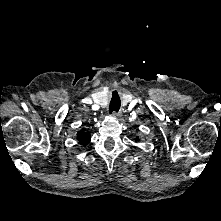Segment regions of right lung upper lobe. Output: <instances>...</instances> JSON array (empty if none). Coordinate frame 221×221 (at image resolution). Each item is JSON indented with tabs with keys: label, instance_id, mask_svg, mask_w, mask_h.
Listing matches in <instances>:
<instances>
[{
	"label": "right lung upper lobe",
	"instance_id": "1",
	"mask_svg": "<svg viewBox=\"0 0 221 221\" xmlns=\"http://www.w3.org/2000/svg\"><path fill=\"white\" fill-rule=\"evenodd\" d=\"M77 140L80 144L87 145L91 140V135L90 133L81 130L77 133Z\"/></svg>",
	"mask_w": 221,
	"mask_h": 221
}]
</instances>
